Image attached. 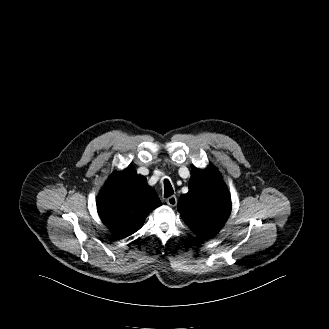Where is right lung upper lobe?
<instances>
[{"instance_id": "cb5924a9", "label": "right lung upper lobe", "mask_w": 329, "mask_h": 329, "mask_svg": "<svg viewBox=\"0 0 329 329\" xmlns=\"http://www.w3.org/2000/svg\"><path fill=\"white\" fill-rule=\"evenodd\" d=\"M160 205L155 191L131 166L114 172L97 199L102 222L121 239L139 230L147 215Z\"/></svg>"}]
</instances>
